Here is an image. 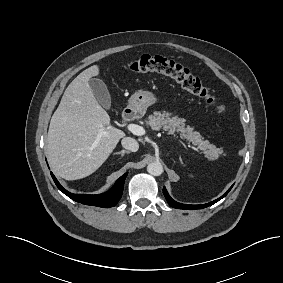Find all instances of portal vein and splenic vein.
<instances>
[{"label": "portal vein and splenic vein", "instance_id": "portal-vein-and-splenic-vein-1", "mask_svg": "<svg viewBox=\"0 0 283 283\" xmlns=\"http://www.w3.org/2000/svg\"><path fill=\"white\" fill-rule=\"evenodd\" d=\"M127 128L134 135L142 136V135L145 134V129L142 126H139L137 124H133V123L128 124ZM188 146L191 147L192 149L196 150V151L198 150L197 148H195L193 146H190V145H188Z\"/></svg>", "mask_w": 283, "mask_h": 283}]
</instances>
